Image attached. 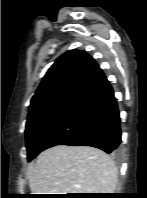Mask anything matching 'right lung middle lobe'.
Here are the masks:
<instances>
[{
  "label": "right lung middle lobe",
  "mask_w": 147,
  "mask_h": 198,
  "mask_svg": "<svg viewBox=\"0 0 147 198\" xmlns=\"http://www.w3.org/2000/svg\"><path fill=\"white\" fill-rule=\"evenodd\" d=\"M75 103H53L29 112L26 122V148L30 161L49 132L61 121Z\"/></svg>",
  "instance_id": "1"
}]
</instances>
